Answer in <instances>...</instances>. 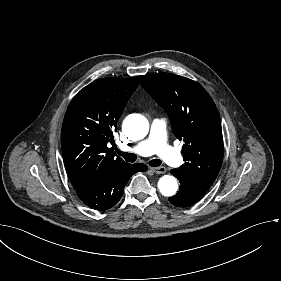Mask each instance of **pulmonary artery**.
<instances>
[{
  "label": "pulmonary artery",
  "mask_w": 281,
  "mask_h": 281,
  "mask_svg": "<svg viewBox=\"0 0 281 281\" xmlns=\"http://www.w3.org/2000/svg\"><path fill=\"white\" fill-rule=\"evenodd\" d=\"M132 152L136 156L148 158L151 154L161 155L166 162L174 168H180L184 164V159L174 150L170 141L165 136V126L161 122H156L152 126V134L148 136L143 144L136 143L132 147Z\"/></svg>",
  "instance_id": "e3ab8cb5"
}]
</instances>
